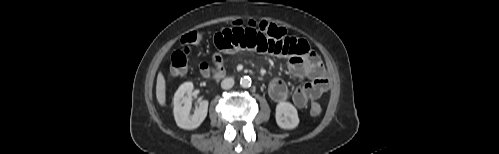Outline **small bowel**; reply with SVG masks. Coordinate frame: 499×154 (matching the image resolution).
Wrapping results in <instances>:
<instances>
[{"instance_id":"small-bowel-1","label":"small bowel","mask_w":499,"mask_h":154,"mask_svg":"<svg viewBox=\"0 0 499 154\" xmlns=\"http://www.w3.org/2000/svg\"><path fill=\"white\" fill-rule=\"evenodd\" d=\"M214 43L219 51L213 57L214 72H224L220 53L248 50L286 57L289 71L296 77L308 79L307 83L297 88L291 95L292 102L297 108H305L329 89L330 83L325 68L306 40L289 35L282 40H276L256 28L233 26L218 32L214 37ZM200 67L203 75L208 77L211 66L202 63ZM268 91L275 102L285 101L290 96L287 84L279 77L270 81Z\"/></svg>"}]
</instances>
